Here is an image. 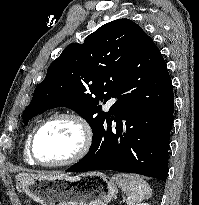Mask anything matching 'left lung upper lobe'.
<instances>
[{
  "mask_svg": "<svg viewBox=\"0 0 199 205\" xmlns=\"http://www.w3.org/2000/svg\"><path fill=\"white\" fill-rule=\"evenodd\" d=\"M144 34L133 21L117 19L87 36L84 43L67 46L35 88L23 123L48 109L67 107L86 119L94 140L112 115L110 110L101 111L102 104L117 96Z\"/></svg>",
  "mask_w": 199,
  "mask_h": 205,
  "instance_id": "1",
  "label": "left lung upper lobe"
}]
</instances>
